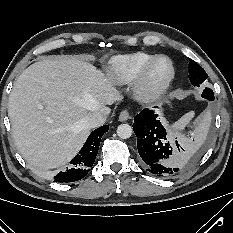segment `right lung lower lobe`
Segmentation results:
<instances>
[{"mask_svg":"<svg viewBox=\"0 0 233 233\" xmlns=\"http://www.w3.org/2000/svg\"><path fill=\"white\" fill-rule=\"evenodd\" d=\"M108 129V125L95 129L79 153L70 161V166L54 177V182H74L85 177L95 161L101 138Z\"/></svg>","mask_w":233,"mask_h":233,"instance_id":"obj_1","label":"right lung lower lobe"}]
</instances>
